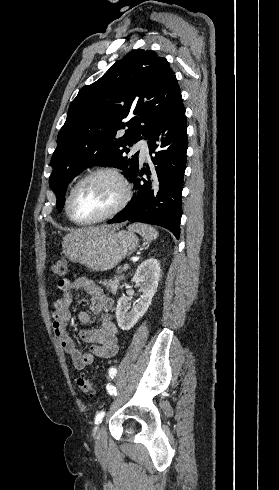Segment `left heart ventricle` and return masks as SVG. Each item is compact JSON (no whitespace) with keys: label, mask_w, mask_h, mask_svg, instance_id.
<instances>
[{"label":"left heart ventricle","mask_w":279,"mask_h":490,"mask_svg":"<svg viewBox=\"0 0 279 490\" xmlns=\"http://www.w3.org/2000/svg\"><path fill=\"white\" fill-rule=\"evenodd\" d=\"M121 187L112 177L101 175L86 180L74 199V216L86 221L100 216L121 197Z\"/></svg>","instance_id":"obj_1"}]
</instances>
